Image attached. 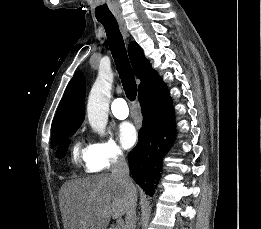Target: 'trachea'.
Segmentation results:
<instances>
[{"mask_svg": "<svg viewBox=\"0 0 261 229\" xmlns=\"http://www.w3.org/2000/svg\"><path fill=\"white\" fill-rule=\"evenodd\" d=\"M97 20L105 28L107 42L114 58L124 92L128 99L133 101L137 95V85L118 23L113 16L97 17Z\"/></svg>", "mask_w": 261, "mask_h": 229, "instance_id": "obj_1", "label": "trachea"}]
</instances>
